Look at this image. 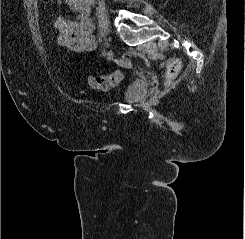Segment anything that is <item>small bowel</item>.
Returning <instances> with one entry per match:
<instances>
[{
	"label": "small bowel",
	"instance_id": "1",
	"mask_svg": "<svg viewBox=\"0 0 245 239\" xmlns=\"http://www.w3.org/2000/svg\"><path fill=\"white\" fill-rule=\"evenodd\" d=\"M96 0H58V4H66L75 14L73 19L65 17L61 12L53 18V27L57 30L59 46L72 52H91L97 42L93 34L94 23L92 11Z\"/></svg>",
	"mask_w": 245,
	"mask_h": 239
}]
</instances>
